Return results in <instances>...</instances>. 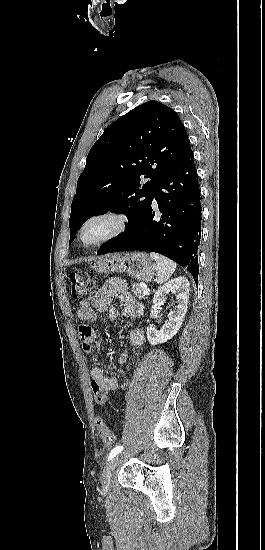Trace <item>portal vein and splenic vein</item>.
Returning a JSON list of instances; mask_svg holds the SVG:
<instances>
[{
    "instance_id": "obj_1",
    "label": "portal vein and splenic vein",
    "mask_w": 265,
    "mask_h": 550,
    "mask_svg": "<svg viewBox=\"0 0 265 550\" xmlns=\"http://www.w3.org/2000/svg\"><path fill=\"white\" fill-rule=\"evenodd\" d=\"M150 294V290L148 288H145L144 289V295H149Z\"/></svg>"
}]
</instances>
